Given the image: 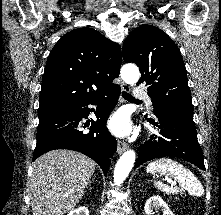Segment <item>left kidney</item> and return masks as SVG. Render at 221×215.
Returning <instances> with one entry per match:
<instances>
[{"instance_id":"left-kidney-1","label":"left kidney","mask_w":221,"mask_h":215,"mask_svg":"<svg viewBox=\"0 0 221 215\" xmlns=\"http://www.w3.org/2000/svg\"><path fill=\"white\" fill-rule=\"evenodd\" d=\"M161 209L163 215H174L168 205L159 195H154L149 198L145 204L144 210L147 215H153V210Z\"/></svg>"}]
</instances>
